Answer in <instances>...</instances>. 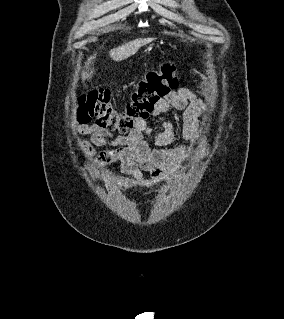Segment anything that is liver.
I'll list each match as a JSON object with an SVG mask.
<instances>
[{"mask_svg":"<svg viewBox=\"0 0 284 319\" xmlns=\"http://www.w3.org/2000/svg\"><path fill=\"white\" fill-rule=\"evenodd\" d=\"M153 40L154 38H139V39L129 41L125 44H122L121 46L111 49L109 51V55L114 61H117V62L125 60L129 58L130 56L134 55L135 53H137V51L142 46L151 43ZM95 58H96V55H93L88 58L87 62L85 63L86 69L89 68V64H91V62ZM92 74H93V69L90 72L83 71L82 79L85 80L87 78H91Z\"/></svg>","mask_w":284,"mask_h":319,"instance_id":"liver-1","label":"liver"}]
</instances>
